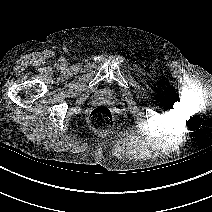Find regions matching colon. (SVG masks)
Returning a JSON list of instances; mask_svg holds the SVG:
<instances>
[{"instance_id": "5ec220e1", "label": "colon", "mask_w": 212, "mask_h": 212, "mask_svg": "<svg viewBox=\"0 0 212 212\" xmlns=\"http://www.w3.org/2000/svg\"><path fill=\"white\" fill-rule=\"evenodd\" d=\"M118 116L115 111L107 106L95 108L89 115L91 127L99 132H105L115 126Z\"/></svg>"}]
</instances>
